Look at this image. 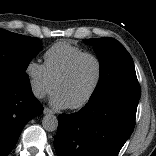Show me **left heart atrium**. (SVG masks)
I'll return each mask as SVG.
<instances>
[{"instance_id": "39dd6f15", "label": "left heart atrium", "mask_w": 156, "mask_h": 156, "mask_svg": "<svg viewBox=\"0 0 156 156\" xmlns=\"http://www.w3.org/2000/svg\"><path fill=\"white\" fill-rule=\"evenodd\" d=\"M50 104L56 109H64L69 107L62 95L57 91L52 94Z\"/></svg>"}]
</instances>
